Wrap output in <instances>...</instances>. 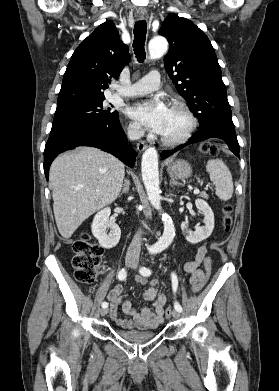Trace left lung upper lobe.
Listing matches in <instances>:
<instances>
[{"label": "left lung upper lobe", "instance_id": "obj_1", "mask_svg": "<svg viewBox=\"0 0 279 391\" xmlns=\"http://www.w3.org/2000/svg\"><path fill=\"white\" fill-rule=\"evenodd\" d=\"M159 33L169 42L165 69L198 118L199 128L216 124L234 129L221 69L205 33L175 14L166 18Z\"/></svg>", "mask_w": 279, "mask_h": 391}]
</instances>
